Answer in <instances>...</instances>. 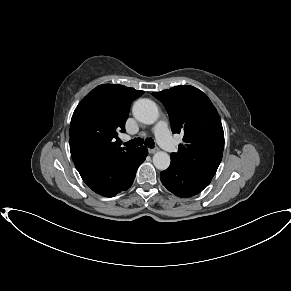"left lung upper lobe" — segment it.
<instances>
[{"instance_id":"obj_1","label":"left lung upper lobe","mask_w":291,"mask_h":291,"mask_svg":"<svg viewBox=\"0 0 291 291\" xmlns=\"http://www.w3.org/2000/svg\"><path fill=\"white\" fill-rule=\"evenodd\" d=\"M153 96L165 106L172 132L184 134L178 152L171 154V162L196 176L212 180L222 159L224 132L210 99L188 85L154 92Z\"/></svg>"}]
</instances>
